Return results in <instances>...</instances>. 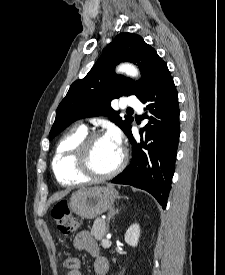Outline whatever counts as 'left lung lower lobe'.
<instances>
[{"mask_svg":"<svg viewBox=\"0 0 225 275\" xmlns=\"http://www.w3.org/2000/svg\"><path fill=\"white\" fill-rule=\"evenodd\" d=\"M153 116L140 130V140L133 138L131 128L125 133L132 143L128 167L112 183L129 184L152 194L163 209L171 189L179 142L178 93L169 70H165L141 97Z\"/></svg>","mask_w":225,"mask_h":275,"instance_id":"1","label":"left lung lower lobe"}]
</instances>
